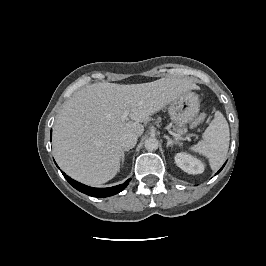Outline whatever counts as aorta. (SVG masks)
<instances>
[{
  "label": "aorta",
  "mask_w": 266,
  "mask_h": 266,
  "mask_svg": "<svg viewBox=\"0 0 266 266\" xmlns=\"http://www.w3.org/2000/svg\"><path fill=\"white\" fill-rule=\"evenodd\" d=\"M145 148L148 151H155L158 148V140L155 138H148L145 141Z\"/></svg>",
  "instance_id": "obj_1"
}]
</instances>
